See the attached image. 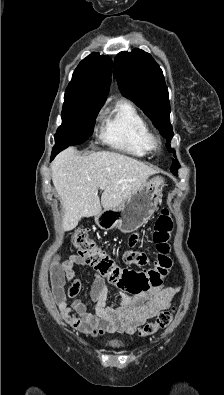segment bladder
I'll use <instances>...</instances> for the list:
<instances>
[{"instance_id":"1","label":"bladder","mask_w":224,"mask_h":395,"mask_svg":"<svg viewBox=\"0 0 224 395\" xmlns=\"http://www.w3.org/2000/svg\"><path fill=\"white\" fill-rule=\"evenodd\" d=\"M104 346L111 349H121L124 347V342L119 338H109L105 340Z\"/></svg>"}]
</instances>
